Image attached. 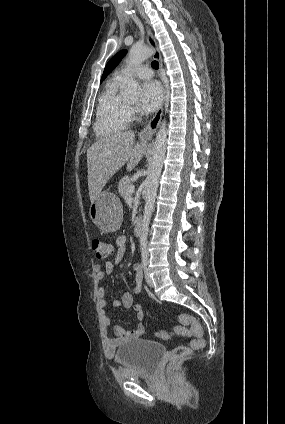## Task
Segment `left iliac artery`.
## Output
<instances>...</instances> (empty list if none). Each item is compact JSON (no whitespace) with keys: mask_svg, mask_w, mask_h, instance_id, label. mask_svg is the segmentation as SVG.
Segmentation results:
<instances>
[{"mask_svg":"<svg viewBox=\"0 0 285 424\" xmlns=\"http://www.w3.org/2000/svg\"><path fill=\"white\" fill-rule=\"evenodd\" d=\"M147 259H148V252L145 248L142 249V262L143 266L147 265Z\"/></svg>","mask_w":285,"mask_h":424,"instance_id":"1","label":"left iliac artery"}]
</instances>
